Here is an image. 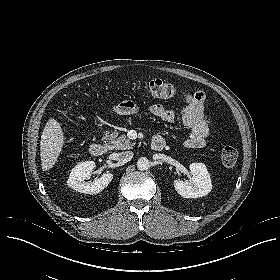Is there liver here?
<instances>
[{"label":"liver","mask_w":280,"mask_h":280,"mask_svg":"<svg viewBox=\"0 0 280 280\" xmlns=\"http://www.w3.org/2000/svg\"><path fill=\"white\" fill-rule=\"evenodd\" d=\"M64 144V135L60 123L50 118L42 132L40 141L41 166L43 171L54 167Z\"/></svg>","instance_id":"6515ba94"}]
</instances>
